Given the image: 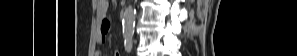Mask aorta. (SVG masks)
Returning <instances> with one entry per match:
<instances>
[{
	"instance_id": "obj_1",
	"label": "aorta",
	"mask_w": 297,
	"mask_h": 56,
	"mask_svg": "<svg viewBox=\"0 0 297 56\" xmlns=\"http://www.w3.org/2000/svg\"><path fill=\"white\" fill-rule=\"evenodd\" d=\"M135 25V11L132 7H127L123 15V31L131 35Z\"/></svg>"
}]
</instances>
